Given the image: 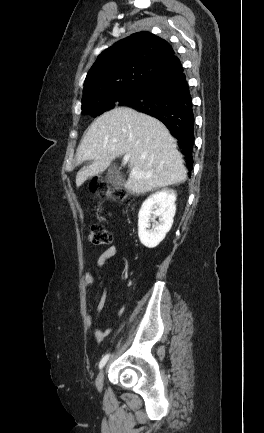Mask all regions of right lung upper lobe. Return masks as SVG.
I'll list each match as a JSON object with an SVG mask.
<instances>
[{
    "mask_svg": "<svg viewBox=\"0 0 264 433\" xmlns=\"http://www.w3.org/2000/svg\"><path fill=\"white\" fill-rule=\"evenodd\" d=\"M174 54L167 41L147 31L122 39L98 56L86 76L83 99L141 85Z\"/></svg>",
    "mask_w": 264,
    "mask_h": 433,
    "instance_id": "1",
    "label": "right lung upper lobe"
}]
</instances>
